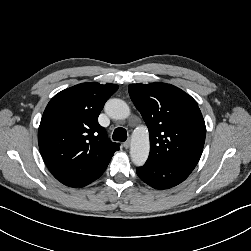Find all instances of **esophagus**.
<instances>
[{
	"mask_svg": "<svg viewBox=\"0 0 251 251\" xmlns=\"http://www.w3.org/2000/svg\"><path fill=\"white\" fill-rule=\"evenodd\" d=\"M123 146H124L125 149H128L130 147V141L127 140L126 142H124Z\"/></svg>",
	"mask_w": 251,
	"mask_h": 251,
	"instance_id": "34e87169",
	"label": "esophagus"
}]
</instances>
